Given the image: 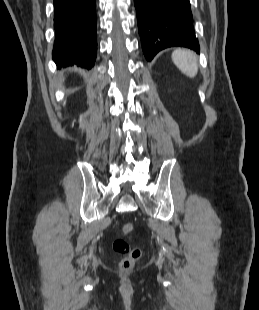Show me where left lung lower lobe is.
Returning a JSON list of instances; mask_svg holds the SVG:
<instances>
[{"instance_id":"0a47b994","label":"left lung lower lobe","mask_w":259,"mask_h":310,"mask_svg":"<svg viewBox=\"0 0 259 310\" xmlns=\"http://www.w3.org/2000/svg\"><path fill=\"white\" fill-rule=\"evenodd\" d=\"M145 58L151 61L168 47L199 52L189 0H134Z\"/></svg>"}]
</instances>
